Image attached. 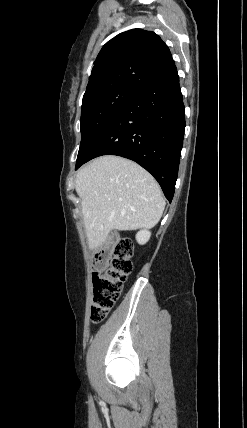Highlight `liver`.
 Segmentation results:
<instances>
[{"mask_svg":"<svg viewBox=\"0 0 247 428\" xmlns=\"http://www.w3.org/2000/svg\"><path fill=\"white\" fill-rule=\"evenodd\" d=\"M88 245H104L112 230L154 227L165 201L155 179L131 160L102 156L76 175Z\"/></svg>","mask_w":247,"mask_h":428,"instance_id":"1","label":"liver"}]
</instances>
